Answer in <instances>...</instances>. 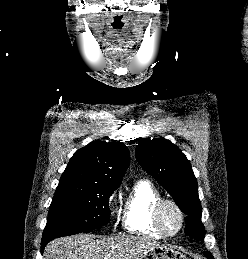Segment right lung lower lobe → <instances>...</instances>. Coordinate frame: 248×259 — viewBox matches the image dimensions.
<instances>
[{
    "label": "right lung lower lobe",
    "mask_w": 248,
    "mask_h": 259,
    "mask_svg": "<svg viewBox=\"0 0 248 259\" xmlns=\"http://www.w3.org/2000/svg\"><path fill=\"white\" fill-rule=\"evenodd\" d=\"M50 241V239H42L41 242V253H43V250L45 248V246L47 245V243Z\"/></svg>",
    "instance_id": "right-lung-lower-lobe-1"
}]
</instances>
